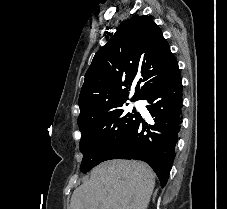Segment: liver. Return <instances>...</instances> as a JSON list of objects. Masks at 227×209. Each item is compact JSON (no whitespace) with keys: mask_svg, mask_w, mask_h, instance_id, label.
I'll return each instance as SVG.
<instances>
[{"mask_svg":"<svg viewBox=\"0 0 227 209\" xmlns=\"http://www.w3.org/2000/svg\"><path fill=\"white\" fill-rule=\"evenodd\" d=\"M154 185L146 163L106 161L75 189L70 209H147Z\"/></svg>","mask_w":227,"mask_h":209,"instance_id":"6515ba94","label":"liver"}]
</instances>
